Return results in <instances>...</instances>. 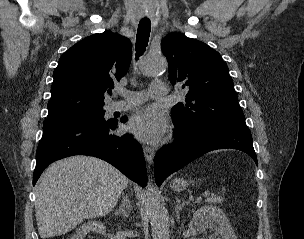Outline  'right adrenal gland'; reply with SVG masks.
Here are the masks:
<instances>
[{"label":"right adrenal gland","instance_id":"2a0ac1e0","mask_svg":"<svg viewBox=\"0 0 304 239\" xmlns=\"http://www.w3.org/2000/svg\"><path fill=\"white\" fill-rule=\"evenodd\" d=\"M131 211V202L128 198V196H124L122 200V204L119 206V209L115 212L116 215L120 214L124 218L129 216V213Z\"/></svg>","mask_w":304,"mask_h":239}]
</instances>
